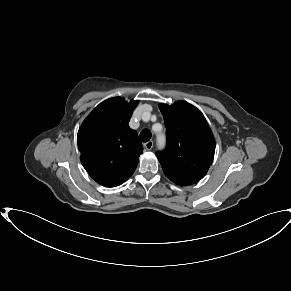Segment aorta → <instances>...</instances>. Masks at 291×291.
I'll list each match as a JSON object with an SVG mask.
<instances>
[{
	"mask_svg": "<svg viewBox=\"0 0 291 291\" xmlns=\"http://www.w3.org/2000/svg\"><path fill=\"white\" fill-rule=\"evenodd\" d=\"M158 143L160 144V146L164 143V137L163 136H159L158 137Z\"/></svg>",
	"mask_w": 291,
	"mask_h": 291,
	"instance_id": "aorta-1",
	"label": "aorta"
}]
</instances>
